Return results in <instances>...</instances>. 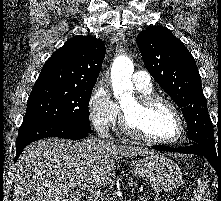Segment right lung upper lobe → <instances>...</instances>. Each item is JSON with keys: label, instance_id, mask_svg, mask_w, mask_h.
Listing matches in <instances>:
<instances>
[{"label": "right lung upper lobe", "instance_id": "obj_1", "mask_svg": "<svg viewBox=\"0 0 221 201\" xmlns=\"http://www.w3.org/2000/svg\"><path fill=\"white\" fill-rule=\"evenodd\" d=\"M104 57L100 39L74 36L46 61L33 89L92 90Z\"/></svg>", "mask_w": 221, "mask_h": 201}]
</instances>
